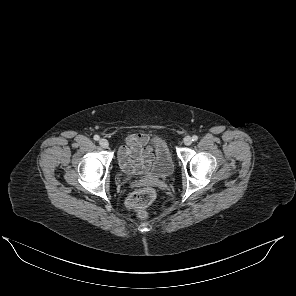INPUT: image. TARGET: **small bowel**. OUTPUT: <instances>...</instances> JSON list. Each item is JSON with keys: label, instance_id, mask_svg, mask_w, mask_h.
I'll list each match as a JSON object with an SVG mask.
<instances>
[{"label": "small bowel", "instance_id": "c3829d8e", "mask_svg": "<svg viewBox=\"0 0 296 296\" xmlns=\"http://www.w3.org/2000/svg\"><path fill=\"white\" fill-rule=\"evenodd\" d=\"M153 159L150 138L147 134L134 133L126 138V144L118 150V162L128 174H144Z\"/></svg>", "mask_w": 296, "mask_h": 296}]
</instances>
